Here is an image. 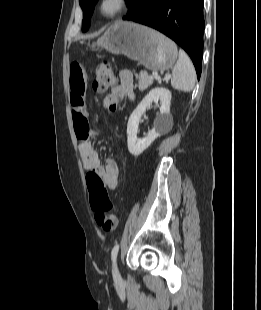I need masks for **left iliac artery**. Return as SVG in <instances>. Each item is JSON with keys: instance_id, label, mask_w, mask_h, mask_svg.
Instances as JSON below:
<instances>
[{"instance_id": "44dca946", "label": "left iliac artery", "mask_w": 261, "mask_h": 310, "mask_svg": "<svg viewBox=\"0 0 261 310\" xmlns=\"http://www.w3.org/2000/svg\"><path fill=\"white\" fill-rule=\"evenodd\" d=\"M118 251H119V244H116V245L113 247L112 252H111V257H112V260H113V261L116 260Z\"/></svg>"}]
</instances>
